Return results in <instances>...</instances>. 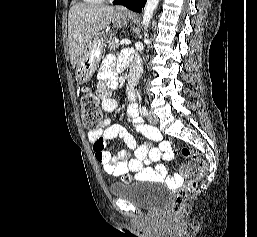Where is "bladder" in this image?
<instances>
[{"mask_svg":"<svg viewBox=\"0 0 257 237\" xmlns=\"http://www.w3.org/2000/svg\"><path fill=\"white\" fill-rule=\"evenodd\" d=\"M150 183L149 180L118 183L111 185L109 191L112 196L125 199L141 209L157 210L167 203L168 192L150 187Z\"/></svg>","mask_w":257,"mask_h":237,"instance_id":"obj_1","label":"bladder"}]
</instances>
